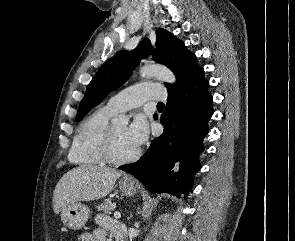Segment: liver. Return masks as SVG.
Listing matches in <instances>:
<instances>
[{
    "mask_svg": "<svg viewBox=\"0 0 295 241\" xmlns=\"http://www.w3.org/2000/svg\"><path fill=\"white\" fill-rule=\"evenodd\" d=\"M121 172L107 167L83 165L68 171L57 183L53 193V210L58 214L64 207L80 201L106 197Z\"/></svg>",
    "mask_w": 295,
    "mask_h": 241,
    "instance_id": "obj_1",
    "label": "liver"
}]
</instances>
